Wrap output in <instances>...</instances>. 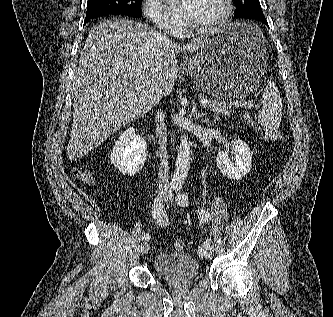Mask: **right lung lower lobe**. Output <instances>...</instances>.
I'll list each match as a JSON object with an SVG mask.
<instances>
[{
	"label": "right lung lower lobe",
	"instance_id": "obj_1",
	"mask_svg": "<svg viewBox=\"0 0 333 317\" xmlns=\"http://www.w3.org/2000/svg\"><path fill=\"white\" fill-rule=\"evenodd\" d=\"M90 19H92V18H85L84 23L88 22Z\"/></svg>",
	"mask_w": 333,
	"mask_h": 317
}]
</instances>
